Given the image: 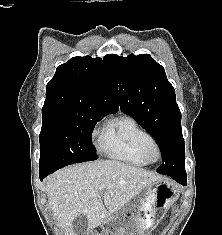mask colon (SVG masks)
Segmentation results:
<instances>
[{
	"instance_id": "1",
	"label": "colon",
	"mask_w": 222,
	"mask_h": 235,
	"mask_svg": "<svg viewBox=\"0 0 222 235\" xmlns=\"http://www.w3.org/2000/svg\"><path fill=\"white\" fill-rule=\"evenodd\" d=\"M90 235H107V234L103 232H95V233H91Z\"/></svg>"
}]
</instances>
